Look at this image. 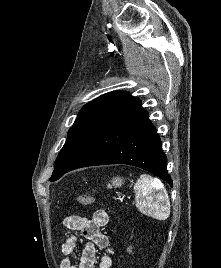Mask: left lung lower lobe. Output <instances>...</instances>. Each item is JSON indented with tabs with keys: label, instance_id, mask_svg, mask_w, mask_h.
<instances>
[{
	"label": "left lung lower lobe",
	"instance_id": "0a47b994",
	"mask_svg": "<svg viewBox=\"0 0 221 268\" xmlns=\"http://www.w3.org/2000/svg\"><path fill=\"white\" fill-rule=\"evenodd\" d=\"M161 144L148 112L139 106L104 129L64 174L87 166L128 164L143 168L172 186Z\"/></svg>",
	"mask_w": 221,
	"mask_h": 268
}]
</instances>
